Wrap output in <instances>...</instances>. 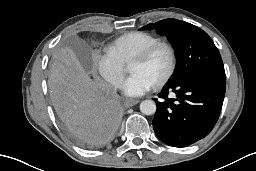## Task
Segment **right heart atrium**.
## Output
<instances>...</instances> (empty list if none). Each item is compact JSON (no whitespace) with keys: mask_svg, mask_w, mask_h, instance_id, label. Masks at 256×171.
I'll return each mask as SVG.
<instances>
[{"mask_svg":"<svg viewBox=\"0 0 256 171\" xmlns=\"http://www.w3.org/2000/svg\"><path fill=\"white\" fill-rule=\"evenodd\" d=\"M93 69L114 89L124 77V64L111 52H96L92 56Z\"/></svg>","mask_w":256,"mask_h":171,"instance_id":"right-heart-atrium-1","label":"right heart atrium"}]
</instances>
